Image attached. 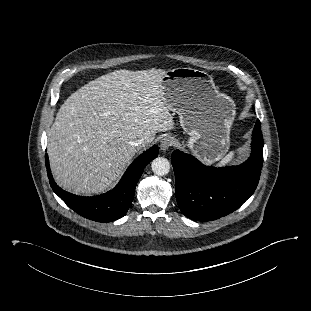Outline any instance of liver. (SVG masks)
<instances>
[{"mask_svg":"<svg viewBox=\"0 0 311 311\" xmlns=\"http://www.w3.org/2000/svg\"><path fill=\"white\" fill-rule=\"evenodd\" d=\"M166 71L116 70L90 81L60 107L47 152L57 184L75 194L104 192L139 150L130 144L174 128L164 100Z\"/></svg>","mask_w":311,"mask_h":311,"instance_id":"liver-1","label":"liver"}]
</instances>
